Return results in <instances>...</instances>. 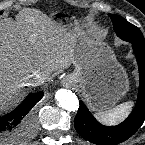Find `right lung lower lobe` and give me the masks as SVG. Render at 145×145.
Returning <instances> with one entry per match:
<instances>
[{
  "mask_svg": "<svg viewBox=\"0 0 145 145\" xmlns=\"http://www.w3.org/2000/svg\"><path fill=\"white\" fill-rule=\"evenodd\" d=\"M42 97L43 92L31 94L15 110L0 118V133L5 130L9 135L18 136L23 130V118Z\"/></svg>",
  "mask_w": 145,
  "mask_h": 145,
  "instance_id": "1",
  "label": "right lung lower lobe"
}]
</instances>
